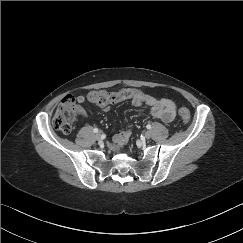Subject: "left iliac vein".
<instances>
[{
    "label": "left iliac vein",
    "mask_w": 243,
    "mask_h": 243,
    "mask_svg": "<svg viewBox=\"0 0 243 243\" xmlns=\"http://www.w3.org/2000/svg\"><path fill=\"white\" fill-rule=\"evenodd\" d=\"M144 136H145L146 139H149L151 137V133L149 131H146L144 133Z\"/></svg>",
    "instance_id": "obj_1"
}]
</instances>
